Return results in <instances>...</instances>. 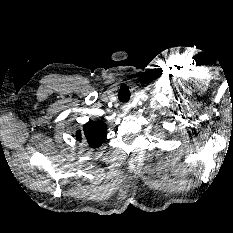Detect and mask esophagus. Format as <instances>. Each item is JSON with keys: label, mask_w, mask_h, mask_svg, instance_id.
<instances>
[{"label": "esophagus", "mask_w": 233, "mask_h": 233, "mask_svg": "<svg viewBox=\"0 0 233 233\" xmlns=\"http://www.w3.org/2000/svg\"><path fill=\"white\" fill-rule=\"evenodd\" d=\"M122 110H123V112H124L125 114H127V113H129V111H130V107H129L128 105H124V106L122 107Z\"/></svg>", "instance_id": "esophagus-1"}]
</instances>
